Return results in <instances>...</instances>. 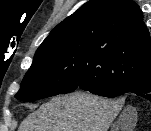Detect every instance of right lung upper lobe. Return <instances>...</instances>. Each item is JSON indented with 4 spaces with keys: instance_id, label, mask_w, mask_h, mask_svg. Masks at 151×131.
<instances>
[{
    "instance_id": "right-lung-upper-lobe-1",
    "label": "right lung upper lobe",
    "mask_w": 151,
    "mask_h": 131,
    "mask_svg": "<svg viewBox=\"0 0 151 131\" xmlns=\"http://www.w3.org/2000/svg\"><path fill=\"white\" fill-rule=\"evenodd\" d=\"M77 44L95 59L106 84L151 82V38L132 0H90L58 24L39 49Z\"/></svg>"
}]
</instances>
